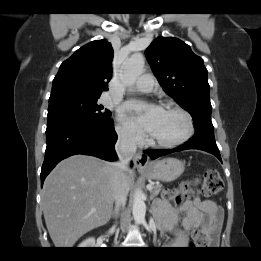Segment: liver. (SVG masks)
<instances>
[{
	"label": "liver",
	"instance_id": "liver-1",
	"mask_svg": "<svg viewBox=\"0 0 261 261\" xmlns=\"http://www.w3.org/2000/svg\"><path fill=\"white\" fill-rule=\"evenodd\" d=\"M114 163L86 155L61 161L47 176L42 207L49 235L57 248H71L87 232L105 225L114 202ZM130 187L134 172L125 171Z\"/></svg>",
	"mask_w": 261,
	"mask_h": 261
}]
</instances>
